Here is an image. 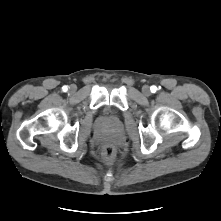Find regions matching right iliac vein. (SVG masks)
Segmentation results:
<instances>
[{
  "label": "right iliac vein",
  "mask_w": 221,
  "mask_h": 221,
  "mask_svg": "<svg viewBox=\"0 0 221 221\" xmlns=\"http://www.w3.org/2000/svg\"><path fill=\"white\" fill-rule=\"evenodd\" d=\"M69 90L72 93L75 92L76 91V86H74V85L70 86Z\"/></svg>",
  "instance_id": "1"
}]
</instances>
